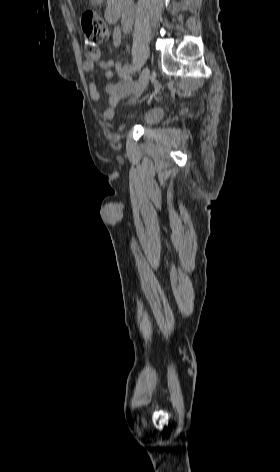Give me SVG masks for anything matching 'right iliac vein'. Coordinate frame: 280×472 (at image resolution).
<instances>
[{"label":"right iliac vein","instance_id":"1","mask_svg":"<svg viewBox=\"0 0 280 472\" xmlns=\"http://www.w3.org/2000/svg\"><path fill=\"white\" fill-rule=\"evenodd\" d=\"M150 78V70L148 67L144 68L142 71L138 83L136 85V99H138L142 93L144 92L145 88L148 85Z\"/></svg>","mask_w":280,"mask_h":472}]
</instances>
